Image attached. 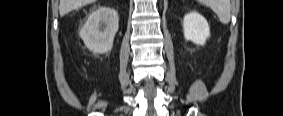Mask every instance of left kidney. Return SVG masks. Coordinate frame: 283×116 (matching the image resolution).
Listing matches in <instances>:
<instances>
[{
	"instance_id": "5707ae66",
	"label": "left kidney",
	"mask_w": 283,
	"mask_h": 116,
	"mask_svg": "<svg viewBox=\"0 0 283 116\" xmlns=\"http://www.w3.org/2000/svg\"><path fill=\"white\" fill-rule=\"evenodd\" d=\"M183 31L185 39L197 45H204L210 36L207 20L196 11H191L184 16Z\"/></svg>"
}]
</instances>
